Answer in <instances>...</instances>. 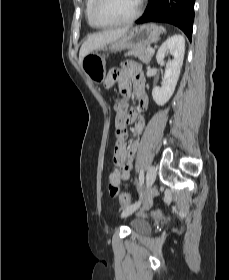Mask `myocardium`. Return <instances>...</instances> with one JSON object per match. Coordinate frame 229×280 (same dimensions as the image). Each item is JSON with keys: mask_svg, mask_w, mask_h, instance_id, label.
Here are the masks:
<instances>
[{"mask_svg": "<svg viewBox=\"0 0 229 280\" xmlns=\"http://www.w3.org/2000/svg\"><path fill=\"white\" fill-rule=\"evenodd\" d=\"M144 1L145 0H139L138 6L135 12L128 18L118 21H110L105 22L99 19L98 11L99 8L103 2V0H95L92 12H91V18L95 26L99 28H107V27H117V26H123L133 23L142 13L143 7H144Z\"/></svg>", "mask_w": 229, "mask_h": 280, "instance_id": "1", "label": "myocardium"}]
</instances>
